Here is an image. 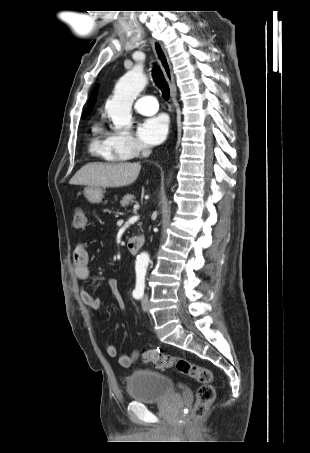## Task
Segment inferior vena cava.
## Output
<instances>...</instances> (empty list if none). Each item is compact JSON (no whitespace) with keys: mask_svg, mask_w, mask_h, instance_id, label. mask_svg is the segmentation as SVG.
<instances>
[{"mask_svg":"<svg viewBox=\"0 0 310 453\" xmlns=\"http://www.w3.org/2000/svg\"><path fill=\"white\" fill-rule=\"evenodd\" d=\"M151 153V150L149 149L148 146H143V149H142V155L144 157H148Z\"/></svg>","mask_w":310,"mask_h":453,"instance_id":"602c4592","label":"inferior vena cava"}]
</instances>
